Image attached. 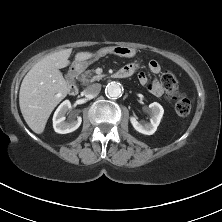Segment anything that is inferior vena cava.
Wrapping results in <instances>:
<instances>
[{"label": "inferior vena cava", "instance_id": "602c4592", "mask_svg": "<svg viewBox=\"0 0 222 222\" xmlns=\"http://www.w3.org/2000/svg\"><path fill=\"white\" fill-rule=\"evenodd\" d=\"M100 91H101V84L95 83V84L89 85L84 90V95L89 98H94L100 93Z\"/></svg>", "mask_w": 222, "mask_h": 222}]
</instances>
